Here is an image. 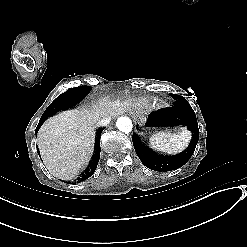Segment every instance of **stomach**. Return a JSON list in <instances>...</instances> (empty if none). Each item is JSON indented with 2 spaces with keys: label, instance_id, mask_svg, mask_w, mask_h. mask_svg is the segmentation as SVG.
<instances>
[{
  "label": "stomach",
  "instance_id": "0dacf381",
  "mask_svg": "<svg viewBox=\"0 0 247 247\" xmlns=\"http://www.w3.org/2000/svg\"><path fill=\"white\" fill-rule=\"evenodd\" d=\"M173 107H162L151 111L143 119L142 124L145 129L158 132L176 134L180 133L184 128L180 123L181 117L172 112Z\"/></svg>",
  "mask_w": 247,
  "mask_h": 247
}]
</instances>
